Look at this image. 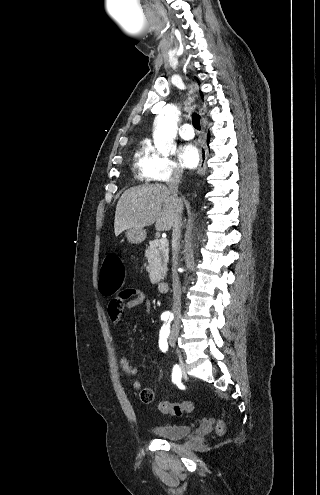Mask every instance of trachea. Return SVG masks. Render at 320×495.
Returning a JSON list of instances; mask_svg holds the SVG:
<instances>
[{"instance_id":"obj_1","label":"trachea","mask_w":320,"mask_h":495,"mask_svg":"<svg viewBox=\"0 0 320 495\" xmlns=\"http://www.w3.org/2000/svg\"><path fill=\"white\" fill-rule=\"evenodd\" d=\"M192 123H193V126L200 130L201 129V126H200V116L197 114V113H193L192 114Z\"/></svg>"}]
</instances>
